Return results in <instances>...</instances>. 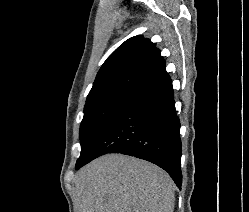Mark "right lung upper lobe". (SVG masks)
Masks as SVG:
<instances>
[{"instance_id":"right-lung-upper-lobe-1","label":"right lung upper lobe","mask_w":249,"mask_h":212,"mask_svg":"<svg viewBox=\"0 0 249 212\" xmlns=\"http://www.w3.org/2000/svg\"><path fill=\"white\" fill-rule=\"evenodd\" d=\"M170 79L160 50L149 39L134 36L122 43L99 70L87 100L111 92L141 95Z\"/></svg>"}]
</instances>
